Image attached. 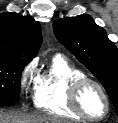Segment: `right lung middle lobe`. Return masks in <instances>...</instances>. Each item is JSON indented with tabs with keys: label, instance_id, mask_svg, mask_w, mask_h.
<instances>
[{
	"label": "right lung middle lobe",
	"instance_id": "right-lung-middle-lobe-1",
	"mask_svg": "<svg viewBox=\"0 0 118 123\" xmlns=\"http://www.w3.org/2000/svg\"><path fill=\"white\" fill-rule=\"evenodd\" d=\"M26 62L0 57V103H12L20 97L21 73Z\"/></svg>",
	"mask_w": 118,
	"mask_h": 123
}]
</instances>
